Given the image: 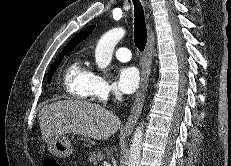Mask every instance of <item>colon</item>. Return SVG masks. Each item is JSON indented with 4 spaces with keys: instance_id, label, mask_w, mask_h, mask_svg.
I'll return each instance as SVG.
<instances>
[{
    "instance_id": "colon-1",
    "label": "colon",
    "mask_w": 231,
    "mask_h": 166,
    "mask_svg": "<svg viewBox=\"0 0 231 166\" xmlns=\"http://www.w3.org/2000/svg\"><path fill=\"white\" fill-rule=\"evenodd\" d=\"M43 166H60V164L54 156L47 155L44 157Z\"/></svg>"
}]
</instances>
